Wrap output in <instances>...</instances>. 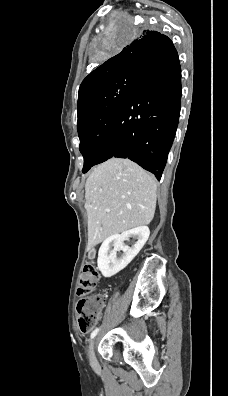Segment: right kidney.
Returning <instances> with one entry per match:
<instances>
[{
    "label": "right kidney",
    "instance_id": "1",
    "mask_svg": "<svg viewBox=\"0 0 228 396\" xmlns=\"http://www.w3.org/2000/svg\"><path fill=\"white\" fill-rule=\"evenodd\" d=\"M149 235V228L140 226L105 239L99 249L97 260L102 275L109 278L123 270L143 248ZM131 237L136 239L135 244L132 247L125 246L124 241ZM111 246L113 249L110 251ZM120 250L123 254L118 258L117 251Z\"/></svg>",
    "mask_w": 228,
    "mask_h": 396
}]
</instances>
